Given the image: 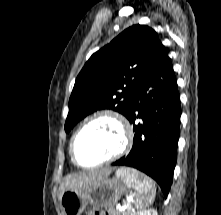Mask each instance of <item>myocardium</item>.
I'll list each match as a JSON object with an SVG mask.
<instances>
[{
  "instance_id": "f54148a6",
  "label": "myocardium",
  "mask_w": 221,
  "mask_h": 215,
  "mask_svg": "<svg viewBox=\"0 0 221 215\" xmlns=\"http://www.w3.org/2000/svg\"><path fill=\"white\" fill-rule=\"evenodd\" d=\"M101 118H109L116 122L122 133V144L120 148L108 158L95 164H90V165L82 164L76 156L75 152L76 140L79 134L87 125ZM132 142H133V131L128 120L124 117V115L113 109H103L94 113L80 124V126L77 128V130L74 132L72 136L69 150H70L71 159L75 165L81 168H94L113 162L118 158L122 157L123 155H125L130 150Z\"/></svg>"
}]
</instances>
